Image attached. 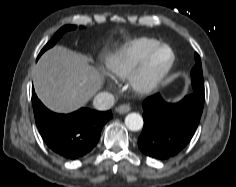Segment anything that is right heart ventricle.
I'll return each instance as SVG.
<instances>
[{
  "label": "right heart ventricle",
  "mask_w": 236,
  "mask_h": 187,
  "mask_svg": "<svg viewBox=\"0 0 236 187\" xmlns=\"http://www.w3.org/2000/svg\"><path fill=\"white\" fill-rule=\"evenodd\" d=\"M159 44L157 39L151 37L129 40L106 55L105 66L111 74L119 78H127L144 57Z\"/></svg>",
  "instance_id": "1"
}]
</instances>
